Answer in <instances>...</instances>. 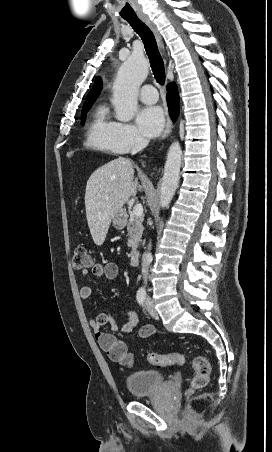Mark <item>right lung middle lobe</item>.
I'll use <instances>...</instances> for the list:
<instances>
[{
  "instance_id": "right-lung-middle-lobe-1",
  "label": "right lung middle lobe",
  "mask_w": 272,
  "mask_h": 452,
  "mask_svg": "<svg viewBox=\"0 0 272 452\" xmlns=\"http://www.w3.org/2000/svg\"><path fill=\"white\" fill-rule=\"evenodd\" d=\"M93 103L90 104H84L83 108H82V112H81V120H82V124L85 120V114L86 112L89 110V108L92 106Z\"/></svg>"
}]
</instances>
